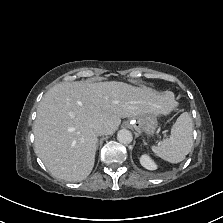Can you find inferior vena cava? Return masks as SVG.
<instances>
[{
    "instance_id": "1",
    "label": "inferior vena cava",
    "mask_w": 223,
    "mask_h": 223,
    "mask_svg": "<svg viewBox=\"0 0 223 223\" xmlns=\"http://www.w3.org/2000/svg\"><path fill=\"white\" fill-rule=\"evenodd\" d=\"M94 132L97 136H101L106 133V129L103 125L99 124V125L94 126Z\"/></svg>"
}]
</instances>
